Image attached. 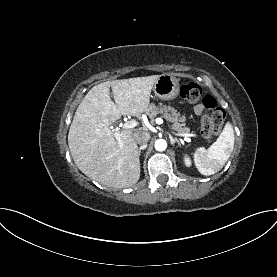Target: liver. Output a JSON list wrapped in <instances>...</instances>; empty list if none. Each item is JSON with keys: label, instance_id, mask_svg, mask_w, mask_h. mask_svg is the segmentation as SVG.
I'll return each mask as SVG.
<instances>
[{"label": "liver", "instance_id": "obj_1", "mask_svg": "<svg viewBox=\"0 0 277 277\" xmlns=\"http://www.w3.org/2000/svg\"><path fill=\"white\" fill-rule=\"evenodd\" d=\"M158 78L152 75L108 81L85 95L71 123L68 145L76 166L86 176L113 188L137 183L140 160L134 135L131 130H123L116 138L109 126L122 115L138 117L146 112Z\"/></svg>", "mask_w": 277, "mask_h": 277}]
</instances>
